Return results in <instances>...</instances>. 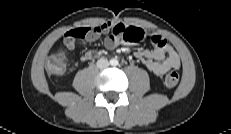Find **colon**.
<instances>
[{
    "label": "colon",
    "mask_w": 231,
    "mask_h": 134,
    "mask_svg": "<svg viewBox=\"0 0 231 134\" xmlns=\"http://www.w3.org/2000/svg\"><path fill=\"white\" fill-rule=\"evenodd\" d=\"M66 68V54L63 51H58L51 55L46 62V69L50 74L61 75ZM179 82V75L175 71H170L164 78V83L167 87L173 88Z\"/></svg>",
    "instance_id": "obj_1"
}]
</instances>
